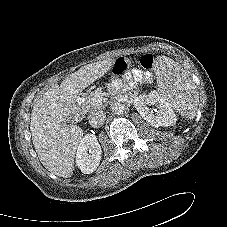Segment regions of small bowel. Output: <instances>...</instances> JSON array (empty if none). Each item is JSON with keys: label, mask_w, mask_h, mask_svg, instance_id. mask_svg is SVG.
I'll return each mask as SVG.
<instances>
[{"label": "small bowel", "mask_w": 227, "mask_h": 227, "mask_svg": "<svg viewBox=\"0 0 227 227\" xmlns=\"http://www.w3.org/2000/svg\"><path fill=\"white\" fill-rule=\"evenodd\" d=\"M133 77L137 80V81H149L151 78V75L149 73H144L139 69H135L133 71Z\"/></svg>", "instance_id": "small-bowel-1"}]
</instances>
